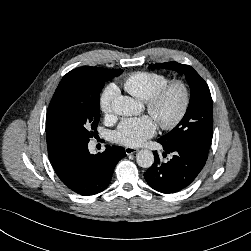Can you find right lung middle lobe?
<instances>
[{
  "label": "right lung middle lobe",
  "instance_id": "dd1d6c3e",
  "mask_svg": "<svg viewBox=\"0 0 251 251\" xmlns=\"http://www.w3.org/2000/svg\"><path fill=\"white\" fill-rule=\"evenodd\" d=\"M122 69L86 67L68 72L60 82L55 123L70 143H88L100 120L99 95Z\"/></svg>",
  "mask_w": 251,
  "mask_h": 251
}]
</instances>
